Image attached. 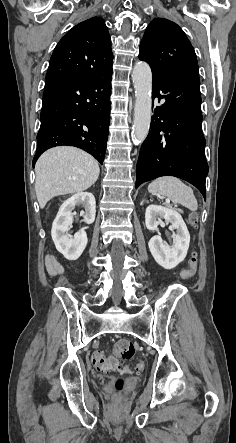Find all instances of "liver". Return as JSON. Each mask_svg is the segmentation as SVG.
<instances>
[{
  "mask_svg": "<svg viewBox=\"0 0 236 443\" xmlns=\"http://www.w3.org/2000/svg\"><path fill=\"white\" fill-rule=\"evenodd\" d=\"M35 191L40 208L55 196L80 193L98 179V162L88 153L69 146L44 152L35 166Z\"/></svg>",
  "mask_w": 236,
  "mask_h": 443,
  "instance_id": "obj_1",
  "label": "liver"
}]
</instances>
